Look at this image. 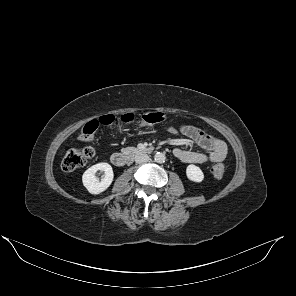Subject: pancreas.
Here are the masks:
<instances>
[{"label": "pancreas", "mask_w": 296, "mask_h": 296, "mask_svg": "<svg viewBox=\"0 0 296 296\" xmlns=\"http://www.w3.org/2000/svg\"><path fill=\"white\" fill-rule=\"evenodd\" d=\"M134 150H135V148H133V147H127V148L123 149V152H131V151H134Z\"/></svg>", "instance_id": "cf45deb5"}]
</instances>
